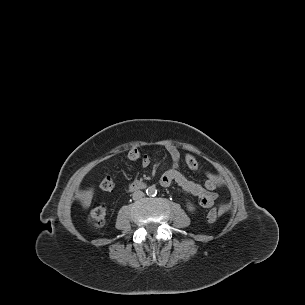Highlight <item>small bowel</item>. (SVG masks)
<instances>
[{
	"label": "small bowel",
	"mask_w": 305,
	"mask_h": 305,
	"mask_svg": "<svg viewBox=\"0 0 305 305\" xmlns=\"http://www.w3.org/2000/svg\"><path fill=\"white\" fill-rule=\"evenodd\" d=\"M166 150L171 157L172 167L160 177L159 182L161 186L169 187L172 183H176L184 191L197 197L200 206L204 208H210L213 206L217 199V193L215 190L224 187L222 179L214 172L205 171L207 179L203 185L189 180L179 170L181 154L178 148L173 144H169L166 146ZM184 161L187 167L192 171H196L199 167L197 159L190 152L185 153ZM150 162V158L147 155H143L140 160L142 167L149 166Z\"/></svg>",
	"instance_id": "c3829d8e"
}]
</instances>
